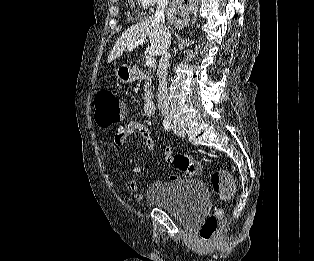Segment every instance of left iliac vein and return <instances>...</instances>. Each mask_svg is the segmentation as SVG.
Returning a JSON list of instances; mask_svg holds the SVG:
<instances>
[{
    "label": "left iliac vein",
    "instance_id": "1",
    "mask_svg": "<svg viewBox=\"0 0 314 261\" xmlns=\"http://www.w3.org/2000/svg\"><path fill=\"white\" fill-rule=\"evenodd\" d=\"M171 126L176 135L180 137H184L186 135L184 129L175 122L172 121Z\"/></svg>",
    "mask_w": 314,
    "mask_h": 261
}]
</instances>
